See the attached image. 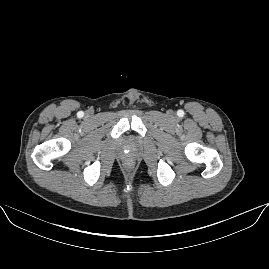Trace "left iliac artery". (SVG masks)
<instances>
[{"instance_id": "44dca946", "label": "left iliac artery", "mask_w": 269, "mask_h": 269, "mask_svg": "<svg viewBox=\"0 0 269 269\" xmlns=\"http://www.w3.org/2000/svg\"><path fill=\"white\" fill-rule=\"evenodd\" d=\"M183 114H184V112L180 110L179 113H178V116L182 117Z\"/></svg>"}]
</instances>
